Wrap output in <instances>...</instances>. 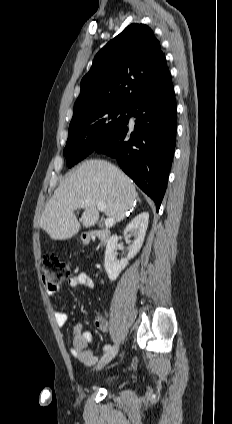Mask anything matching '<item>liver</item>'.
I'll return each instance as SVG.
<instances>
[{
  "label": "liver",
  "mask_w": 232,
  "mask_h": 424,
  "mask_svg": "<svg viewBox=\"0 0 232 424\" xmlns=\"http://www.w3.org/2000/svg\"><path fill=\"white\" fill-rule=\"evenodd\" d=\"M137 192L132 180L115 165L100 159L84 161L55 190L40 219V227L53 240H66L99 219L97 203H105L104 213L120 222L133 208ZM85 204L78 220L74 211Z\"/></svg>",
  "instance_id": "6515ba94"
}]
</instances>
